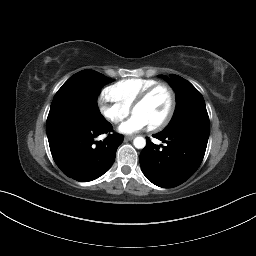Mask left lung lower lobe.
<instances>
[{"label":"left lung lower lobe","instance_id":"left-lung-lower-lobe-1","mask_svg":"<svg viewBox=\"0 0 256 256\" xmlns=\"http://www.w3.org/2000/svg\"><path fill=\"white\" fill-rule=\"evenodd\" d=\"M153 136L167 146L155 145L147 138L146 147L140 154V165L144 175L153 184L162 188L182 184L200 166L209 134L183 128L170 133L160 132Z\"/></svg>","mask_w":256,"mask_h":256}]
</instances>
